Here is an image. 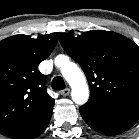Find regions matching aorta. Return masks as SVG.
I'll return each instance as SVG.
<instances>
[{
	"label": "aorta",
	"mask_w": 139,
	"mask_h": 139,
	"mask_svg": "<svg viewBox=\"0 0 139 139\" xmlns=\"http://www.w3.org/2000/svg\"><path fill=\"white\" fill-rule=\"evenodd\" d=\"M55 64L61 68L63 77L72 89V100L78 105L85 104L89 99V88L81 69L64 55L57 56Z\"/></svg>",
	"instance_id": "aorta-1"
}]
</instances>
